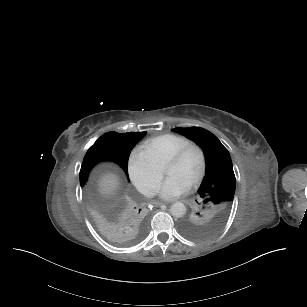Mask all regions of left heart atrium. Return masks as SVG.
Listing matches in <instances>:
<instances>
[{"mask_svg": "<svg viewBox=\"0 0 307 307\" xmlns=\"http://www.w3.org/2000/svg\"><path fill=\"white\" fill-rule=\"evenodd\" d=\"M189 191V183L176 175H168L155 182L151 192L162 199L173 200Z\"/></svg>", "mask_w": 307, "mask_h": 307, "instance_id": "obj_1", "label": "left heart atrium"}]
</instances>
